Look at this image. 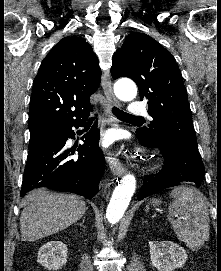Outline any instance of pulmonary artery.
<instances>
[{"label":"pulmonary artery","instance_id":"obj_1","mask_svg":"<svg viewBox=\"0 0 221 271\" xmlns=\"http://www.w3.org/2000/svg\"><path fill=\"white\" fill-rule=\"evenodd\" d=\"M145 102H131L130 112H145Z\"/></svg>","mask_w":221,"mask_h":271}]
</instances>
